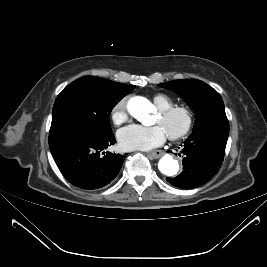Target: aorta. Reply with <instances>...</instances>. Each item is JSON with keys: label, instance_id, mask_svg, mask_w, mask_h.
Listing matches in <instances>:
<instances>
[{"label": "aorta", "instance_id": "obj_1", "mask_svg": "<svg viewBox=\"0 0 267 267\" xmlns=\"http://www.w3.org/2000/svg\"><path fill=\"white\" fill-rule=\"evenodd\" d=\"M127 111L139 122L146 124L150 114L153 112L152 103L145 97L134 96L127 102ZM158 169L166 176H174L178 172V161L169 154H165L158 163Z\"/></svg>", "mask_w": 267, "mask_h": 267}]
</instances>
